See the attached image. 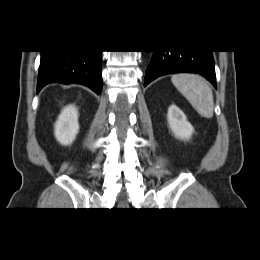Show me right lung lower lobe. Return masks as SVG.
<instances>
[{
  "label": "right lung lower lobe",
  "mask_w": 260,
  "mask_h": 260,
  "mask_svg": "<svg viewBox=\"0 0 260 260\" xmlns=\"http://www.w3.org/2000/svg\"><path fill=\"white\" fill-rule=\"evenodd\" d=\"M102 51H41L37 92L50 83L82 84L102 91Z\"/></svg>",
  "instance_id": "obj_1"
}]
</instances>
